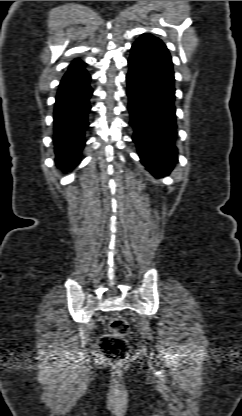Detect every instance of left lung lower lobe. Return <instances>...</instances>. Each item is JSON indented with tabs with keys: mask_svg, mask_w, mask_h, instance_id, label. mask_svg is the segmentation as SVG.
<instances>
[{
	"mask_svg": "<svg viewBox=\"0 0 242 416\" xmlns=\"http://www.w3.org/2000/svg\"><path fill=\"white\" fill-rule=\"evenodd\" d=\"M132 140L141 163L152 174L168 172L177 159L176 108L172 59L165 44L145 33L132 45L128 60Z\"/></svg>",
	"mask_w": 242,
	"mask_h": 416,
	"instance_id": "0a47b994",
	"label": "left lung lower lobe"
}]
</instances>
